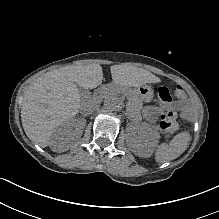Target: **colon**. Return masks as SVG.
<instances>
[{"label":"colon","instance_id":"obj_1","mask_svg":"<svg viewBox=\"0 0 219 219\" xmlns=\"http://www.w3.org/2000/svg\"><path fill=\"white\" fill-rule=\"evenodd\" d=\"M173 96L178 99L185 98L184 89L181 86H177L173 91ZM160 128L168 136H171L176 132L178 122L174 110H167L160 114Z\"/></svg>","mask_w":219,"mask_h":219}]
</instances>
